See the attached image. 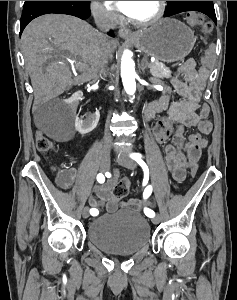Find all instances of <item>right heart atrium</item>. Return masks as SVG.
I'll return each mask as SVG.
<instances>
[{"mask_svg": "<svg viewBox=\"0 0 237 300\" xmlns=\"http://www.w3.org/2000/svg\"><path fill=\"white\" fill-rule=\"evenodd\" d=\"M90 9L94 20L98 24L111 26L117 22V15L99 1H92Z\"/></svg>", "mask_w": 237, "mask_h": 300, "instance_id": "right-heart-atrium-1", "label": "right heart atrium"}]
</instances>
